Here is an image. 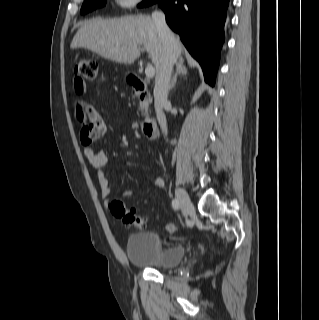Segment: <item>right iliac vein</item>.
<instances>
[{
  "label": "right iliac vein",
  "mask_w": 319,
  "mask_h": 320,
  "mask_svg": "<svg viewBox=\"0 0 319 320\" xmlns=\"http://www.w3.org/2000/svg\"><path fill=\"white\" fill-rule=\"evenodd\" d=\"M175 192L183 214L186 215L190 213L193 210V204L187 192L181 187H177Z\"/></svg>",
  "instance_id": "63e3f726"
}]
</instances>
